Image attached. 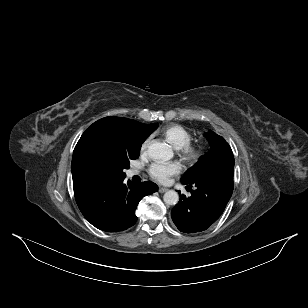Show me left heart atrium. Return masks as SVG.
Wrapping results in <instances>:
<instances>
[{
	"instance_id": "39dd6f15",
	"label": "left heart atrium",
	"mask_w": 308,
	"mask_h": 308,
	"mask_svg": "<svg viewBox=\"0 0 308 308\" xmlns=\"http://www.w3.org/2000/svg\"><path fill=\"white\" fill-rule=\"evenodd\" d=\"M182 170L179 163H153L149 167L150 176L159 183L166 184L170 181L171 177L178 175Z\"/></svg>"
}]
</instances>
